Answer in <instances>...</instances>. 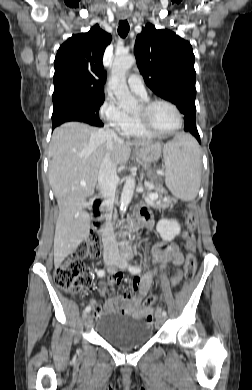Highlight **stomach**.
<instances>
[{"label":"stomach","instance_id":"1","mask_svg":"<svg viewBox=\"0 0 252 390\" xmlns=\"http://www.w3.org/2000/svg\"><path fill=\"white\" fill-rule=\"evenodd\" d=\"M135 152L140 163L144 167H149L152 163L156 162L161 154L159 146L156 144L152 146L136 148Z\"/></svg>","mask_w":252,"mask_h":390}]
</instances>
